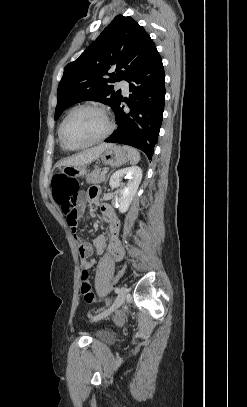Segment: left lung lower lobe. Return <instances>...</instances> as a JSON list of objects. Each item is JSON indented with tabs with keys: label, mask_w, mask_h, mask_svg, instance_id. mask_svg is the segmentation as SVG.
I'll return each mask as SVG.
<instances>
[{
	"label": "left lung lower lobe",
	"mask_w": 247,
	"mask_h": 407,
	"mask_svg": "<svg viewBox=\"0 0 247 407\" xmlns=\"http://www.w3.org/2000/svg\"><path fill=\"white\" fill-rule=\"evenodd\" d=\"M133 92L125 112L120 100L114 109L118 128L106 142L133 146L151 160L162 123L165 101V74L161 56L155 49L140 69L128 80Z\"/></svg>",
	"instance_id": "obj_1"
}]
</instances>
